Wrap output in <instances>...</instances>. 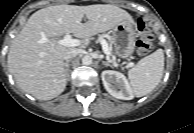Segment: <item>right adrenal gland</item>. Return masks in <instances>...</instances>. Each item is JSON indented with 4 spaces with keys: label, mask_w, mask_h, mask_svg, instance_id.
Masks as SVG:
<instances>
[{
    "label": "right adrenal gland",
    "mask_w": 194,
    "mask_h": 133,
    "mask_svg": "<svg viewBox=\"0 0 194 133\" xmlns=\"http://www.w3.org/2000/svg\"><path fill=\"white\" fill-rule=\"evenodd\" d=\"M69 63H70V60H67V61L65 62L67 80L69 79V72H70Z\"/></svg>",
    "instance_id": "obj_1"
}]
</instances>
